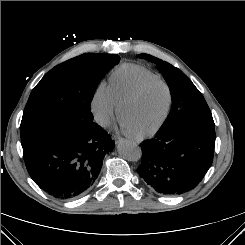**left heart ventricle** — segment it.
<instances>
[{"mask_svg": "<svg viewBox=\"0 0 245 245\" xmlns=\"http://www.w3.org/2000/svg\"><path fill=\"white\" fill-rule=\"evenodd\" d=\"M167 103V92L159 82L148 84L139 97L127 104L122 117L135 132L152 128L162 117Z\"/></svg>", "mask_w": 245, "mask_h": 245, "instance_id": "b2bd125f", "label": "left heart ventricle"}]
</instances>
